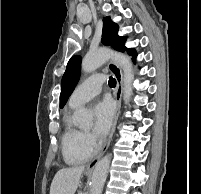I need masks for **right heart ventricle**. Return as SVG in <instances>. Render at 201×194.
<instances>
[{
	"instance_id": "e07e8e85",
	"label": "right heart ventricle",
	"mask_w": 201,
	"mask_h": 194,
	"mask_svg": "<svg viewBox=\"0 0 201 194\" xmlns=\"http://www.w3.org/2000/svg\"><path fill=\"white\" fill-rule=\"evenodd\" d=\"M73 109L74 107L70 106V109L64 115L61 145L64 159L68 164H81L91 157L92 150L84 146L83 132L72 123L71 111Z\"/></svg>"
}]
</instances>
